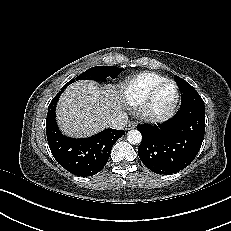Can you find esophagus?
Wrapping results in <instances>:
<instances>
[{"instance_id": "34e87169", "label": "esophagus", "mask_w": 231, "mask_h": 231, "mask_svg": "<svg viewBox=\"0 0 231 231\" xmlns=\"http://www.w3.org/2000/svg\"><path fill=\"white\" fill-rule=\"evenodd\" d=\"M135 126H136L135 122L130 121V122H128L127 125H126V130L133 129V128H135Z\"/></svg>"}]
</instances>
